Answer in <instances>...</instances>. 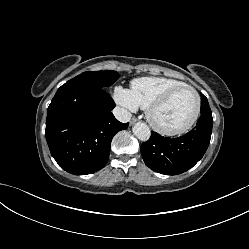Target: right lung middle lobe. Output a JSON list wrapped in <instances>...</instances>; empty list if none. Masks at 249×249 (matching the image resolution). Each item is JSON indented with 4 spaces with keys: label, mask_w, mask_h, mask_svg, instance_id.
Returning <instances> with one entry per match:
<instances>
[{
    "label": "right lung middle lobe",
    "mask_w": 249,
    "mask_h": 249,
    "mask_svg": "<svg viewBox=\"0 0 249 249\" xmlns=\"http://www.w3.org/2000/svg\"><path fill=\"white\" fill-rule=\"evenodd\" d=\"M118 77L119 74L115 71H94L84 72L70 81H84L104 89L105 87L111 86Z\"/></svg>",
    "instance_id": "dd1d6c3e"
}]
</instances>
